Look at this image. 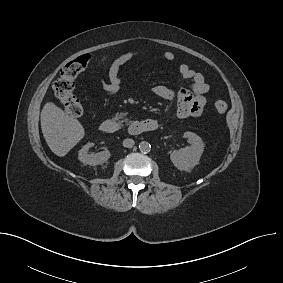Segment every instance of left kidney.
<instances>
[{
	"label": "left kidney",
	"instance_id": "5707ae66",
	"mask_svg": "<svg viewBox=\"0 0 283 283\" xmlns=\"http://www.w3.org/2000/svg\"><path fill=\"white\" fill-rule=\"evenodd\" d=\"M183 136L188 140L190 146L174 150L170 158L177 169L190 171L199 163L204 150V143L202 139L193 132H185Z\"/></svg>",
	"mask_w": 283,
	"mask_h": 283
}]
</instances>
